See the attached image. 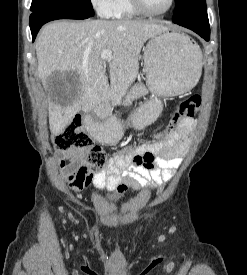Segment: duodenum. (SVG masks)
<instances>
[{"label": "duodenum", "instance_id": "410a0bca", "mask_svg": "<svg viewBox=\"0 0 247 275\" xmlns=\"http://www.w3.org/2000/svg\"><path fill=\"white\" fill-rule=\"evenodd\" d=\"M111 109V95L108 94L105 96V98L102 100L98 111L103 112L104 114H107Z\"/></svg>", "mask_w": 247, "mask_h": 275}]
</instances>
